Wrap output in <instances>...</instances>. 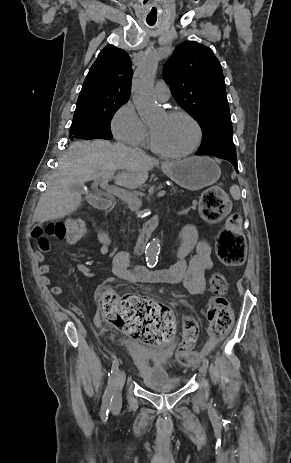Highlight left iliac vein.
<instances>
[{"label": "left iliac vein", "mask_w": 291, "mask_h": 463, "mask_svg": "<svg viewBox=\"0 0 291 463\" xmlns=\"http://www.w3.org/2000/svg\"><path fill=\"white\" fill-rule=\"evenodd\" d=\"M199 372H200L202 377H206L207 367L204 364L200 365Z\"/></svg>", "instance_id": "1"}]
</instances>
